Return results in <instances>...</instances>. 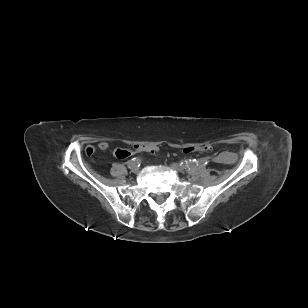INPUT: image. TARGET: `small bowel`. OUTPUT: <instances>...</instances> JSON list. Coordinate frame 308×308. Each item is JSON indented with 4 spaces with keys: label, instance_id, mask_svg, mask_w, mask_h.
Instances as JSON below:
<instances>
[{
    "label": "small bowel",
    "instance_id": "1",
    "mask_svg": "<svg viewBox=\"0 0 308 308\" xmlns=\"http://www.w3.org/2000/svg\"><path fill=\"white\" fill-rule=\"evenodd\" d=\"M108 147H109V145L105 141H101V142L98 143V148L100 150H106V149H108ZM226 155H227L226 153H222L221 155L215 157V161L221 162L223 160V158L226 157Z\"/></svg>",
    "mask_w": 308,
    "mask_h": 308
}]
</instances>
